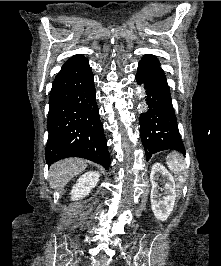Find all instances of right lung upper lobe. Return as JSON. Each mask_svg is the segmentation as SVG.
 Instances as JSON below:
<instances>
[{"instance_id": "obj_1", "label": "right lung upper lobe", "mask_w": 221, "mask_h": 266, "mask_svg": "<svg viewBox=\"0 0 221 266\" xmlns=\"http://www.w3.org/2000/svg\"><path fill=\"white\" fill-rule=\"evenodd\" d=\"M84 60H86V58L83 55H74L73 57H71L69 60H67L64 63V65H63L61 70L70 68V67L75 66L77 64H80Z\"/></svg>"}]
</instances>
